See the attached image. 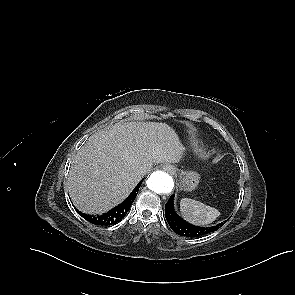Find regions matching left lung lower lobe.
<instances>
[{"instance_id":"obj_1","label":"left lung lower lobe","mask_w":295,"mask_h":295,"mask_svg":"<svg viewBox=\"0 0 295 295\" xmlns=\"http://www.w3.org/2000/svg\"><path fill=\"white\" fill-rule=\"evenodd\" d=\"M165 217L171 229L180 236L185 237L203 236L216 231L219 227L226 223V221H224L211 227H198L186 222L177 215L174 209V195H172L165 204Z\"/></svg>"}]
</instances>
